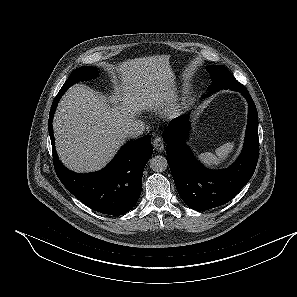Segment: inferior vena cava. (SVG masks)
Instances as JSON below:
<instances>
[{
	"instance_id": "inferior-vena-cava-1",
	"label": "inferior vena cava",
	"mask_w": 297,
	"mask_h": 297,
	"mask_svg": "<svg viewBox=\"0 0 297 297\" xmlns=\"http://www.w3.org/2000/svg\"><path fill=\"white\" fill-rule=\"evenodd\" d=\"M123 131L126 137L137 138L145 131L144 122L141 120H135L131 124L127 125Z\"/></svg>"
}]
</instances>
